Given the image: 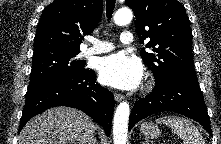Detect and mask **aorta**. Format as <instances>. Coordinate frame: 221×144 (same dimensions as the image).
Masks as SVG:
<instances>
[{"label":"aorta","mask_w":221,"mask_h":144,"mask_svg":"<svg viewBox=\"0 0 221 144\" xmlns=\"http://www.w3.org/2000/svg\"><path fill=\"white\" fill-rule=\"evenodd\" d=\"M133 14L129 8H121L114 15L116 25L124 26L131 22ZM130 108L126 101L121 102L115 111L113 119V141L114 144H126L128 132Z\"/></svg>","instance_id":"762f6f07"}]
</instances>
